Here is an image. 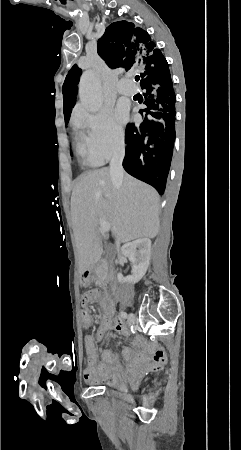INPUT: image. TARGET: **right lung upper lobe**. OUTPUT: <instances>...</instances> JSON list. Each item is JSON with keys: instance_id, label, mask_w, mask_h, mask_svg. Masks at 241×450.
<instances>
[{"instance_id": "obj_1", "label": "right lung upper lobe", "mask_w": 241, "mask_h": 450, "mask_svg": "<svg viewBox=\"0 0 241 450\" xmlns=\"http://www.w3.org/2000/svg\"><path fill=\"white\" fill-rule=\"evenodd\" d=\"M98 54L111 68L124 67L143 70L166 63L150 35L133 23L118 21L109 25L98 40ZM82 71L73 65L68 75H81Z\"/></svg>"}]
</instances>
